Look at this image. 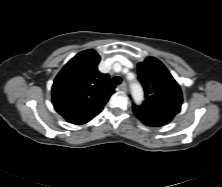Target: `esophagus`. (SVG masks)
<instances>
[{"label": "esophagus", "mask_w": 222, "mask_h": 187, "mask_svg": "<svg viewBox=\"0 0 222 187\" xmlns=\"http://www.w3.org/2000/svg\"><path fill=\"white\" fill-rule=\"evenodd\" d=\"M119 89L122 90V91H126L127 90V85L126 83H122L120 86H119Z\"/></svg>", "instance_id": "obj_1"}]
</instances>
